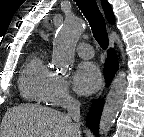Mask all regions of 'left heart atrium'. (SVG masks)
Listing matches in <instances>:
<instances>
[{"label": "left heart atrium", "mask_w": 144, "mask_h": 137, "mask_svg": "<svg viewBox=\"0 0 144 137\" xmlns=\"http://www.w3.org/2000/svg\"><path fill=\"white\" fill-rule=\"evenodd\" d=\"M101 83V73L94 63L84 62L78 66L74 77V84L79 93L90 95L100 88Z\"/></svg>", "instance_id": "1"}]
</instances>
